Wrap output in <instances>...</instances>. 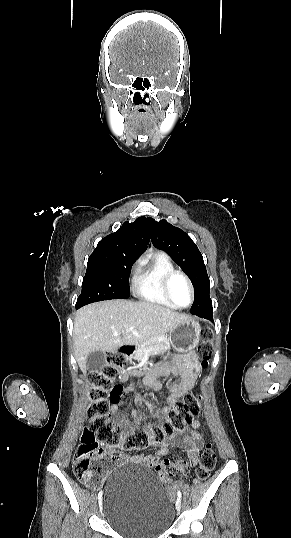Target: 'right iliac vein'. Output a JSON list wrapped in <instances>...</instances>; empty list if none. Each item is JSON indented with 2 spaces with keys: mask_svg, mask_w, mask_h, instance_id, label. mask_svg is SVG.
I'll return each mask as SVG.
<instances>
[{
  "mask_svg": "<svg viewBox=\"0 0 291 538\" xmlns=\"http://www.w3.org/2000/svg\"><path fill=\"white\" fill-rule=\"evenodd\" d=\"M101 506H102V499L99 500V507L101 509Z\"/></svg>",
  "mask_w": 291,
  "mask_h": 538,
  "instance_id": "obj_1",
  "label": "right iliac vein"
}]
</instances>
